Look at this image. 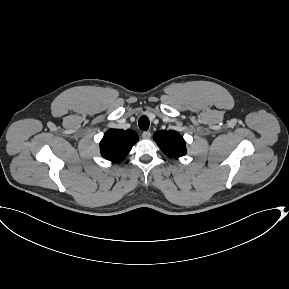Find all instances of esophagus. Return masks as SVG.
Here are the masks:
<instances>
[{
    "mask_svg": "<svg viewBox=\"0 0 289 289\" xmlns=\"http://www.w3.org/2000/svg\"><path fill=\"white\" fill-rule=\"evenodd\" d=\"M151 137V132H149V131H144L143 133H142V138H144V139H149Z\"/></svg>",
    "mask_w": 289,
    "mask_h": 289,
    "instance_id": "esophagus-1",
    "label": "esophagus"
}]
</instances>
